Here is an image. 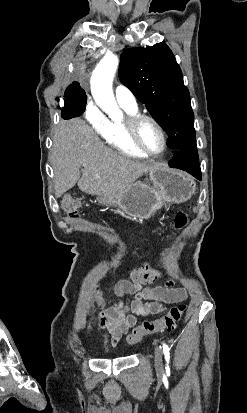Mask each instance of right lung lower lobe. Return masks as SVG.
Masks as SVG:
<instances>
[{"mask_svg":"<svg viewBox=\"0 0 247 413\" xmlns=\"http://www.w3.org/2000/svg\"><path fill=\"white\" fill-rule=\"evenodd\" d=\"M61 114L63 119H71L77 117L74 112L69 111L68 109H66V107L62 108Z\"/></svg>","mask_w":247,"mask_h":413,"instance_id":"98d812e1","label":"right lung lower lobe"}]
</instances>
